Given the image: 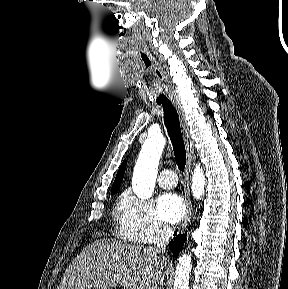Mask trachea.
I'll return each mask as SVG.
<instances>
[{
    "mask_svg": "<svg viewBox=\"0 0 288 289\" xmlns=\"http://www.w3.org/2000/svg\"><path fill=\"white\" fill-rule=\"evenodd\" d=\"M143 65L152 70L154 82L152 87V96L159 105H162L164 111V122L170 137L175 160L180 171L184 172L186 165V150L183 141L178 114L173 104L167 99V88L164 85L162 72L151 62V58L146 54H140Z\"/></svg>",
    "mask_w": 288,
    "mask_h": 289,
    "instance_id": "1",
    "label": "trachea"
}]
</instances>
